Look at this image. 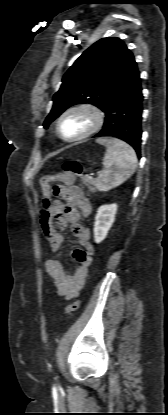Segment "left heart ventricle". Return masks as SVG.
<instances>
[{
    "label": "left heart ventricle",
    "instance_id": "left-heart-ventricle-1",
    "mask_svg": "<svg viewBox=\"0 0 168 415\" xmlns=\"http://www.w3.org/2000/svg\"><path fill=\"white\" fill-rule=\"evenodd\" d=\"M92 124L91 116L85 111H75L66 115L61 122L62 134L73 138L86 132Z\"/></svg>",
    "mask_w": 168,
    "mask_h": 415
}]
</instances>
